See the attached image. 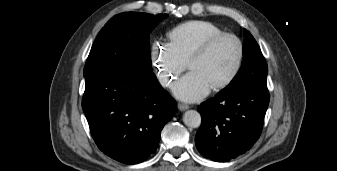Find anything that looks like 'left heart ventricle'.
<instances>
[{
    "label": "left heart ventricle",
    "instance_id": "left-heart-ventricle-1",
    "mask_svg": "<svg viewBox=\"0 0 337 171\" xmlns=\"http://www.w3.org/2000/svg\"><path fill=\"white\" fill-rule=\"evenodd\" d=\"M238 55V47L233 39H223L215 44L202 58L194 62L190 72L212 87L231 73Z\"/></svg>",
    "mask_w": 337,
    "mask_h": 171
}]
</instances>
